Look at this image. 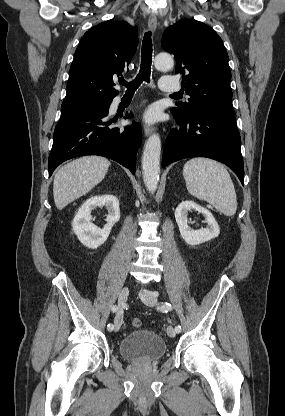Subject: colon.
<instances>
[{
    "instance_id": "colon-1",
    "label": "colon",
    "mask_w": 285,
    "mask_h": 416,
    "mask_svg": "<svg viewBox=\"0 0 285 416\" xmlns=\"http://www.w3.org/2000/svg\"><path fill=\"white\" fill-rule=\"evenodd\" d=\"M132 327L139 328L141 326V320L138 318H135L131 322Z\"/></svg>"
}]
</instances>
